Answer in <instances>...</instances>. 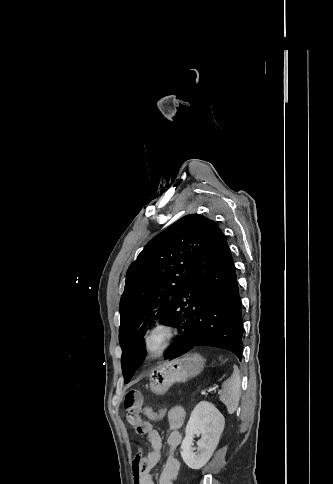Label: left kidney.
<instances>
[{
  "label": "left kidney",
  "mask_w": 333,
  "mask_h": 484,
  "mask_svg": "<svg viewBox=\"0 0 333 484\" xmlns=\"http://www.w3.org/2000/svg\"><path fill=\"white\" fill-rule=\"evenodd\" d=\"M224 425L223 415L212 403L201 401L196 405L181 444V457L189 468L200 469L209 461L219 443ZM195 435H201V439L197 441V448L192 446ZM196 449L197 452H194Z\"/></svg>",
  "instance_id": "5707ae66"
}]
</instances>
